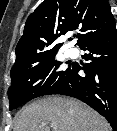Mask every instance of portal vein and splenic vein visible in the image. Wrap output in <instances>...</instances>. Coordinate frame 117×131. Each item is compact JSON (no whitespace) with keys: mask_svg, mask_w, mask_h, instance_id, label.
I'll list each match as a JSON object with an SVG mask.
<instances>
[{"mask_svg":"<svg viewBox=\"0 0 117 131\" xmlns=\"http://www.w3.org/2000/svg\"><path fill=\"white\" fill-rule=\"evenodd\" d=\"M52 126H53L54 130H56V128H57L56 125H52Z\"/></svg>","mask_w":117,"mask_h":131,"instance_id":"portal-vein-and-splenic-vein-1","label":"portal vein and splenic vein"}]
</instances>
